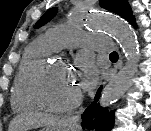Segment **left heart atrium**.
I'll list each match as a JSON object with an SVG mask.
<instances>
[{"instance_id": "1", "label": "left heart atrium", "mask_w": 151, "mask_h": 131, "mask_svg": "<svg viewBox=\"0 0 151 131\" xmlns=\"http://www.w3.org/2000/svg\"><path fill=\"white\" fill-rule=\"evenodd\" d=\"M74 79L80 89L92 88L97 79V71L90 57L81 55L75 62Z\"/></svg>"}]
</instances>
